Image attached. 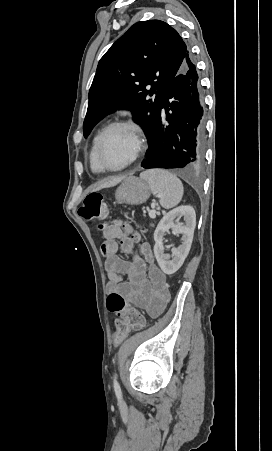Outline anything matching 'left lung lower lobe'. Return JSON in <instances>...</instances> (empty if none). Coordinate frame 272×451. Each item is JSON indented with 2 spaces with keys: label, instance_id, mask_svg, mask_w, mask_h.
<instances>
[{
  "label": "left lung lower lobe",
  "instance_id": "obj_1",
  "mask_svg": "<svg viewBox=\"0 0 272 451\" xmlns=\"http://www.w3.org/2000/svg\"><path fill=\"white\" fill-rule=\"evenodd\" d=\"M143 168H186L204 160V106L196 66L187 50L183 65L161 102Z\"/></svg>",
  "mask_w": 272,
  "mask_h": 451
}]
</instances>
